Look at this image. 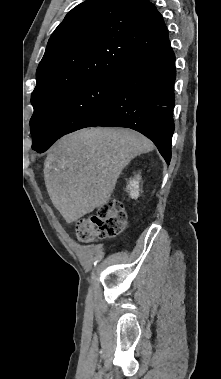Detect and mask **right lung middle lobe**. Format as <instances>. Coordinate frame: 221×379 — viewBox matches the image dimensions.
Segmentation results:
<instances>
[{"label": "right lung middle lobe", "mask_w": 221, "mask_h": 379, "mask_svg": "<svg viewBox=\"0 0 221 379\" xmlns=\"http://www.w3.org/2000/svg\"><path fill=\"white\" fill-rule=\"evenodd\" d=\"M119 75L98 74L31 100L32 148L50 147L57 138L96 121L109 106Z\"/></svg>", "instance_id": "obj_1"}]
</instances>
